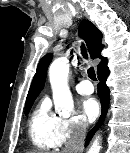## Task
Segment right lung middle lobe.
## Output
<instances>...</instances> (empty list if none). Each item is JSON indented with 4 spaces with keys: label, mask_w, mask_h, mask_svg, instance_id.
I'll use <instances>...</instances> for the list:
<instances>
[{
    "label": "right lung middle lobe",
    "mask_w": 130,
    "mask_h": 153,
    "mask_svg": "<svg viewBox=\"0 0 130 153\" xmlns=\"http://www.w3.org/2000/svg\"><path fill=\"white\" fill-rule=\"evenodd\" d=\"M32 104H33V101L26 104V106H25V115H27L29 113Z\"/></svg>",
    "instance_id": "obj_1"
}]
</instances>
